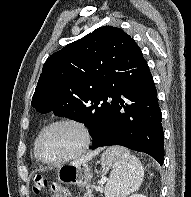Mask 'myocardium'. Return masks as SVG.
I'll list each match as a JSON object with an SVG mask.
<instances>
[{
	"label": "myocardium",
	"instance_id": "obj_1",
	"mask_svg": "<svg viewBox=\"0 0 191 197\" xmlns=\"http://www.w3.org/2000/svg\"><path fill=\"white\" fill-rule=\"evenodd\" d=\"M63 124L72 125V126L76 127L81 132L82 144L78 150H76L74 153H72L64 158H61L58 160H46L40 153V140H41L43 134L48 129H50L51 127H54L57 125H63ZM91 143H92V135H91V131H90L89 127L86 125V123H84L83 121H81L77 118L62 117V118H58V119H55V120L49 122L40 130L39 134L37 135V137L35 139L34 153H35L36 159L38 161H40L41 163H43L45 165H49V166H56V165L64 164L66 162H69L71 160H74V159L82 156L83 154H85L87 152Z\"/></svg>",
	"mask_w": 191,
	"mask_h": 197
}]
</instances>
